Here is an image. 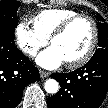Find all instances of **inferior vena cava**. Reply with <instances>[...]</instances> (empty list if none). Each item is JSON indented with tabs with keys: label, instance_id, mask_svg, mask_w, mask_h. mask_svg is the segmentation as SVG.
Returning a JSON list of instances; mask_svg holds the SVG:
<instances>
[{
	"label": "inferior vena cava",
	"instance_id": "obj_1",
	"mask_svg": "<svg viewBox=\"0 0 108 108\" xmlns=\"http://www.w3.org/2000/svg\"><path fill=\"white\" fill-rule=\"evenodd\" d=\"M27 52H28L30 55L34 56V55H36L37 50L32 48V49H28Z\"/></svg>",
	"mask_w": 108,
	"mask_h": 108
}]
</instances>
